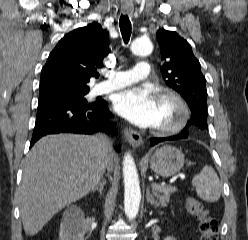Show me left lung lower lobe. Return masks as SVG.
Wrapping results in <instances>:
<instances>
[{"instance_id":"1","label":"left lung lower lobe","mask_w":248,"mask_h":240,"mask_svg":"<svg viewBox=\"0 0 248 240\" xmlns=\"http://www.w3.org/2000/svg\"><path fill=\"white\" fill-rule=\"evenodd\" d=\"M187 134L186 132H182L178 135H174V136H171V137H166V138H151L150 139V143H151V146L159 143V142H162V141H169V140H178V139H184V138H187Z\"/></svg>"}]
</instances>
